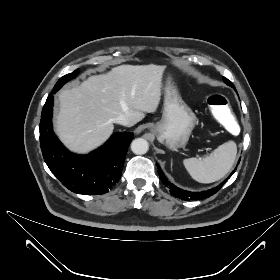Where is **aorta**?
<instances>
[{
    "instance_id": "762f6f07",
    "label": "aorta",
    "mask_w": 280,
    "mask_h": 280,
    "mask_svg": "<svg viewBox=\"0 0 280 280\" xmlns=\"http://www.w3.org/2000/svg\"><path fill=\"white\" fill-rule=\"evenodd\" d=\"M149 149L147 140L143 138L134 139L131 143V150L134 154L142 155L145 154Z\"/></svg>"
}]
</instances>
